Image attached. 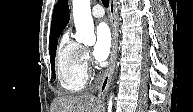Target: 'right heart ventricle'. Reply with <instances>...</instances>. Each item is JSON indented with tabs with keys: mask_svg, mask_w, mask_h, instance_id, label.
Here are the masks:
<instances>
[{
	"mask_svg": "<svg viewBox=\"0 0 193 112\" xmlns=\"http://www.w3.org/2000/svg\"><path fill=\"white\" fill-rule=\"evenodd\" d=\"M56 75L60 87L69 93L84 89L88 81L83 47L65 33L56 53Z\"/></svg>",
	"mask_w": 193,
	"mask_h": 112,
	"instance_id": "1",
	"label": "right heart ventricle"
}]
</instances>
